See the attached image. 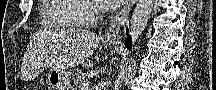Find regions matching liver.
<instances>
[{"label": "liver", "mask_w": 216, "mask_h": 90, "mask_svg": "<svg viewBox=\"0 0 216 90\" xmlns=\"http://www.w3.org/2000/svg\"><path fill=\"white\" fill-rule=\"evenodd\" d=\"M100 36L88 32V30H80V28H69L65 32V64L67 68H73L76 64H84L85 60L93 54V50L98 48L100 44Z\"/></svg>", "instance_id": "1"}]
</instances>
